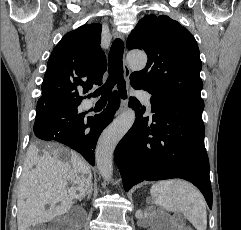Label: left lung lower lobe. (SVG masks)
Masks as SVG:
<instances>
[{
	"label": "left lung lower lobe",
	"mask_w": 241,
	"mask_h": 230,
	"mask_svg": "<svg viewBox=\"0 0 241 230\" xmlns=\"http://www.w3.org/2000/svg\"><path fill=\"white\" fill-rule=\"evenodd\" d=\"M150 101L155 123L148 124L140 102L130 97L137 119L115 149L125 191L142 181L181 178L198 187L212 208L202 111L155 95Z\"/></svg>",
	"instance_id": "1"
}]
</instances>
